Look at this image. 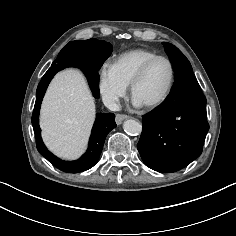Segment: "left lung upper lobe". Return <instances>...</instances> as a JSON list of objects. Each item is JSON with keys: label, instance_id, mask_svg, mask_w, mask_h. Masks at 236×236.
Segmentation results:
<instances>
[{"label": "left lung upper lobe", "instance_id": "1", "mask_svg": "<svg viewBox=\"0 0 236 236\" xmlns=\"http://www.w3.org/2000/svg\"><path fill=\"white\" fill-rule=\"evenodd\" d=\"M164 46L173 65L175 78L193 71L190 62L177 47L170 43H164Z\"/></svg>", "mask_w": 236, "mask_h": 236}]
</instances>
